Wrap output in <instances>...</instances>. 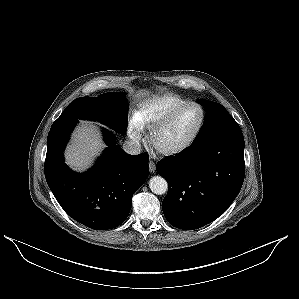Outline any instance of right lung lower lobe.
Masks as SVG:
<instances>
[{
  "label": "right lung lower lobe",
  "instance_id": "obj_1",
  "mask_svg": "<svg viewBox=\"0 0 299 299\" xmlns=\"http://www.w3.org/2000/svg\"><path fill=\"white\" fill-rule=\"evenodd\" d=\"M76 118H58L48 134L45 177L64 211L94 230L119 226L128 216L134 192L148 176L146 153L129 155L115 144V136L103 129L108 147L88 172L78 174L65 163L63 151Z\"/></svg>",
  "mask_w": 299,
  "mask_h": 299
}]
</instances>
